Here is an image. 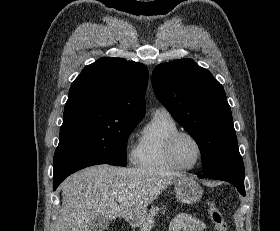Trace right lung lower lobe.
<instances>
[{
    "instance_id": "1",
    "label": "right lung lower lobe",
    "mask_w": 280,
    "mask_h": 231,
    "mask_svg": "<svg viewBox=\"0 0 280 231\" xmlns=\"http://www.w3.org/2000/svg\"><path fill=\"white\" fill-rule=\"evenodd\" d=\"M105 164L101 161L76 155H54L53 190L70 174L88 166Z\"/></svg>"
}]
</instances>
